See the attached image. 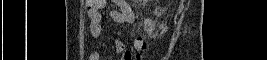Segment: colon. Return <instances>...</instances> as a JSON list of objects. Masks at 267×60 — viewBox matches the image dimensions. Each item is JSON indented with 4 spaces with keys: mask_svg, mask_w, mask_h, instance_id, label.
<instances>
[{
    "mask_svg": "<svg viewBox=\"0 0 267 60\" xmlns=\"http://www.w3.org/2000/svg\"><path fill=\"white\" fill-rule=\"evenodd\" d=\"M135 45L139 50H142L145 48L146 43H145L144 39L139 38L135 41ZM138 59H140V57H138Z\"/></svg>",
    "mask_w": 267,
    "mask_h": 60,
    "instance_id": "obj_1",
    "label": "colon"
}]
</instances>
